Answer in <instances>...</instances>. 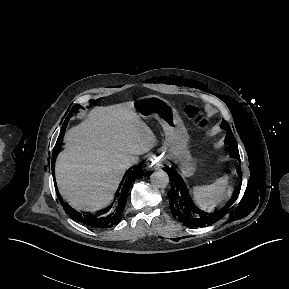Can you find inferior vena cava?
Returning a JSON list of instances; mask_svg holds the SVG:
<instances>
[{
    "mask_svg": "<svg viewBox=\"0 0 289 289\" xmlns=\"http://www.w3.org/2000/svg\"><path fill=\"white\" fill-rule=\"evenodd\" d=\"M138 163V158L137 157H132L128 164L131 166V165H134V164H137Z\"/></svg>",
    "mask_w": 289,
    "mask_h": 289,
    "instance_id": "obj_1",
    "label": "inferior vena cava"
}]
</instances>
